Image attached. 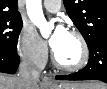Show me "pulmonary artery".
<instances>
[{
    "label": "pulmonary artery",
    "mask_w": 107,
    "mask_h": 89,
    "mask_svg": "<svg viewBox=\"0 0 107 89\" xmlns=\"http://www.w3.org/2000/svg\"><path fill=\"white\" fill-rule=\"evenodd\" d=\"M43 5L49 12L55 13L60 9L61 1L60 0H44Z\"/></svg>",
    "instance_id": "e3ab8cb5"
}]
</instances>
